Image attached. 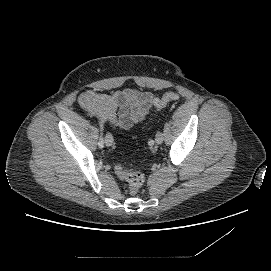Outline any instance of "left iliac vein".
<instances>
[{
  "mask_svg": "<svg viewBox=\"0 0 271 271\" xmlns=\"http://www.w3.org/2000/svg\"><path fill=\"white\" fill-rule=\"evenodd\" d=\"M156 143L157 144H161L164 140V137H163V133L159 132L157 135H156Z\"/></svg>",
  "mask_w": 271,
  "mask_h": 271,
  "instance_id": "obj_1",
  "label": "left iliac vein"
}]
</instances>
